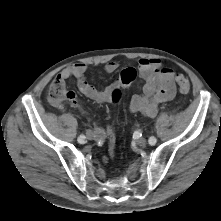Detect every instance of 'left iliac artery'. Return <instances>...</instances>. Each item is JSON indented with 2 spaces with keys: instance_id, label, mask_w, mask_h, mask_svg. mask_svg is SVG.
I'll use <instances>...</instances> for the list:
<instances>
[{
  "instance_id": "left-iliac-artery-1",
  "label": "left iliac artery",
  "mask_w": 221,
  "mask_h": 221,
  "mask_svg": "<svg viewBox=\"0 0 221 221\" xmlns=\"http://www.w3.org/2000/svg\"><path fill=\"white\" fill-rule=\"evenodd\" d=\"M148 142L150 145H155L157 142V139L154 136H152L149 138Z\"/></svg>"
}]
</instances>
